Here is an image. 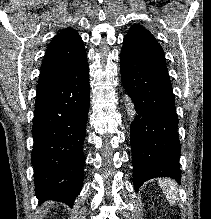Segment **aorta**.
Here are the masks:
<instances>
[{
	"label": "aorta",
	"mask_w": 211,
	"mask_h": 219,
	"mask_svg": "<svg viewBox=\"0 0 211 219\" xmlns=\"http://www.w3.org/2000/svg\"><path fill=\"white\" fill-rule=\"evenodd\" d=\"M128 111H129V113L131 114V116L134 115V111H133L132 109L128 108Z\"/></svg>",
	"instance_id": "762f6f07"
}]
</instances>
